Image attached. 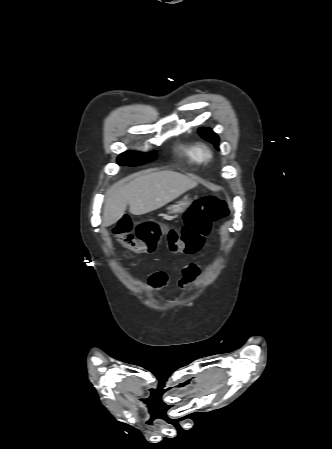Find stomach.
I'll use <instances>...</instances> for the list:
<instances>
[{"instance_id":"stomach-1","label":"stomach","mask_w":332,"mask_h":449,"mask_svg":"<svg viewBox=\"0 0 332 449\" xmlns=\"http://www.w3.org/2000/svg\"><path fill=\"white\" fill-rule=\"evenodd\" d=\"M191 200H188L187 198L176 202L175 204H172L167 207L168 214H177L184 212L190 205Z\"/></svg>"}]
</instances>
